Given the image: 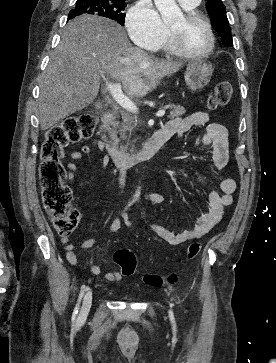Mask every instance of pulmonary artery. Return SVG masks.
Returning a JSON list of instances; mask_svg holds the SVG:
<instances>
[{"mask_svg": "<svg viewBox=\"0 0 276 363\" xmlns=\"http://www.w3.org/2000/svg\"><path fill=\"white\" fill-rule=\"evenodd\" d=\"M200 0H178V2L186 9L194 8L198 5Z\"/></svg>", "mask_w": 276, "mask_h": 363, "instance_id": "obj_1", "label": "pulmonary artery"}]
</instances>
